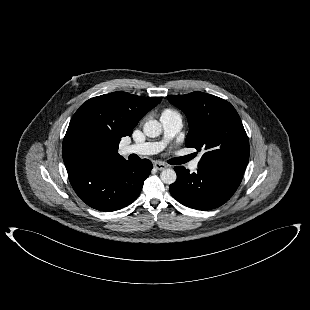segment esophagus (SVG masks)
<instances>
[{"label":"esophagus","instance_id":"obj_1","mask_svg":"<svg viewBox=\"0 0 310 310\" xmlns=\"http://www.w3.org/2000/svg\"><path fill=\"white\" fill-rule=\"evenodd\" d=\"M154 168L157 170H163V169L167 168V165H165L164 163H161V162H155Z\"/></svg>","mask_w":310,"mask_h":310}]
</instances>
